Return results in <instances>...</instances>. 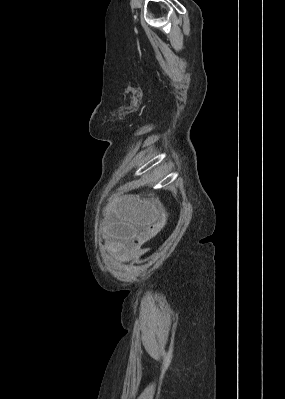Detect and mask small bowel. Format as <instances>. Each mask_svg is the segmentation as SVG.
Here are the masks:
<instances>
[{"label":"small bowel","mask_w":285,"mask_h":399,"mask_svg":"<svg viewBox=\"0 0 285 399\" xmlns=\"http://www.w3.org/2000/svg\"><path fill=\"white\" fill-rule=\"evenodd\" d=\"M134 222L141 227L140 238L145 239L152 236L155 230V217L151 214L148 204L141 202L134 216Z\"/></svg>","instance_id":"1"}]
</instances>
